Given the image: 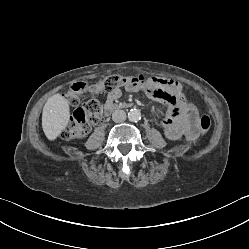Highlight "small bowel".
<instances>
[{
  "label": "small bowel",
  "instance_id": "small-bowel-1",
  "mask_svg": "<svg viewBox=\"0 0 249 249\" xmlns=\"http://www.w3.org/2000/svg\"><path fill=\"white\" fill-rule=\"evenodd\" d=\"M139 82L124 86L127 92L144 91L149 97L162 100L168 104V117L163 123L165 135L171 140L185 138L195 141L199 137L197 108L185 98L179 82L162 77H144L138 75ZM122 95L120 87L110 90L105 102L106 110Z\"/></svg>",
  "mask_w": 249,
  "mask_h": 249
}]
</instances>
